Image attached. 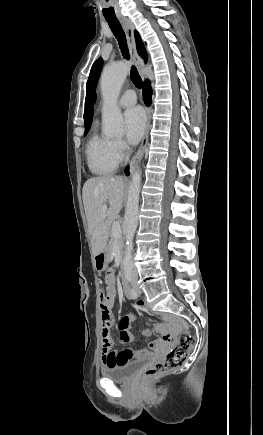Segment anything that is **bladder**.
Segmentation results:
<instances>
[{
  "label": "bladder",
  "instance_id": "31cf9c89",
  "mask_svg": "<svg viewBox=\"0 0 263 435\" xmlns=\"http://www.w3.org/2000/svg\"><path fill=\"white\" fill-rule=\"evenodd\" d=\"M144 359L135 360L119 366H104L101 375L115 382H126L144 365Z\"/></svg>",
  "mask_w": 263,
  "mask_h": 435
}]
</instances>
